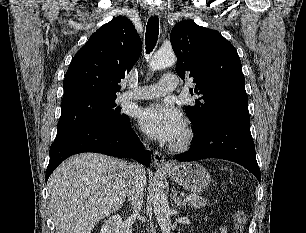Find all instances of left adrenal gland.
I'll list each match as a JSON object with an SVG mask.
<instances>
[{"mask_svg":"<svg viewBox=\"0 0 306 233\" xmlns=\"http://www.w3.org/2000/svg\"><path fill=\"white\" fill-rule=\"evenodd\" d=\"M173 201L177 205V207L182 208L186 205L184 201H182L179 197H177V191L174 190L173 192Z\"/></svg>","mask_w":306,"mask_h":233,"instance_id":"1","label":"left adrenal gland"}]
</instances>
